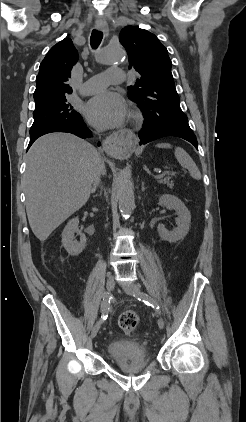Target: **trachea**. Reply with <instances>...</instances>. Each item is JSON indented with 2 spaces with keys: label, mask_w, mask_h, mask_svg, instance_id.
Returning <instances> with one entry per match:
<instances>
[{
  "label": "trachea",
  "mask_w": 246,
  "mask_h": 422,
  "mask_svg": "<svg viewBox=\"0 0 246 422\" xmlns=\"http://www.w3.org/2000/svg\"><path fill=\"white\" fill-rule=\"evenodd\" d=\"M102 38H103V33L101 31L93 30L90 37L91 47L93 49H97L102 41Z\"/></svg>",
  "instance_id": "1"
}]
</instances>
